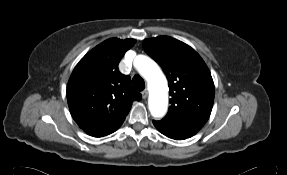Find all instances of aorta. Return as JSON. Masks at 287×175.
<instances>
[{
    "label": "aorta",
    "instance_id": "1",
    "mask_svg": "<svg viewBox=\"0 0 287 175\" xmlns=\"http://www.w3.org/2000/svg\"><path fill=\"white\" fill-rule=\"evenodd\" d=\"M134 66L148 82L150 90L148 107L151 115L154 118H162L168 108V85L166 77L157 63L147 56H138Z\"/></svg>",
    "mask_w": 287,
    "mask_h": 175
}]
</instances>
